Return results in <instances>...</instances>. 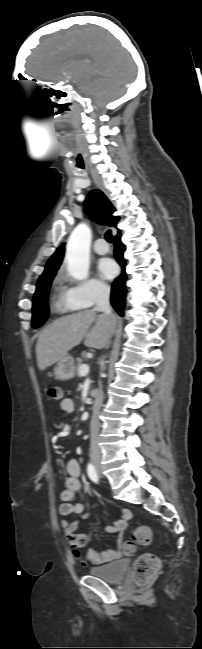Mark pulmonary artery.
Here are the masks:
<instances>
[{"label": "pulmonary artery", "mask_w": 202, "mask_h": 649, "mask_svg": "<svg viewBox=\"0 0 202 649\" xmlns=\"http://www.w3.org/2000/svg\"><path fill=\"white\" fill-rule=\"evenodd\" d=\"M93 250L98 255H104L108 253L109 247L104 239L100 238L95 241Z\"/></svg>", "instance_id": "1"}]
</instances>
